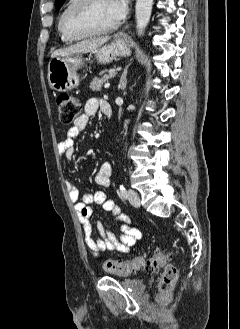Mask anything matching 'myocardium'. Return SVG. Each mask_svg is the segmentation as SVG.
Instances as JSON below:
<instances>
[{
	"label": "myocardium",
	"instance_id": "obj_1",
	"mask_svg": "<svg viewBox=\"0 0 240 329\" xmlns=\"http://www.w3.org/2000/svg\"><path fill=\"white\" fill-rule=\"evenodd\" d=\"M95 0H74L73 3L65 10L62 16V30L66 36L73 40L84 39L88 37L98 36L110 33L118 28L119 23L116 22L110 26L101 29H89L86 31H75L71 27V19L80 11L88 8Z\"/></svg>",
	"mask_w": 240,
	"mask_h": 329
}]
</instances>
